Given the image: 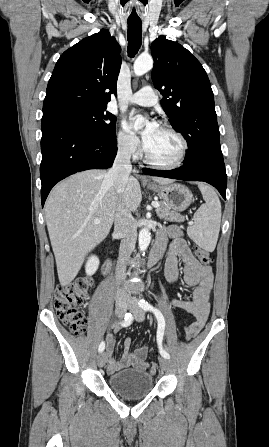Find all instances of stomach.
<instances>
[{
	"label": "stomach",
	"instance_id": "obj_1",
	"mask_svg": "<svg viewBox=\"0 0 269 447\" xmlns=\"http://www.w3.org/2000/svg\"><path fill=\"white\" fill-rule=\"evenodd\" d=\"M150 190L161 196L163 202L174 210V212H184L192 202V194L185 186L180 184H169V186H156L152 184Z\"/></svg>",
	"mask_w": 269,
	"mask_h": 447
}]
</instances>
